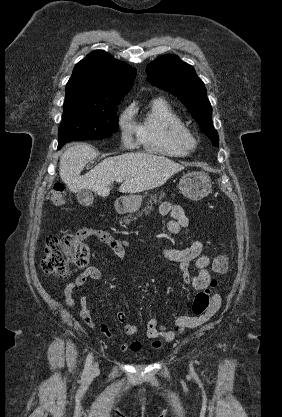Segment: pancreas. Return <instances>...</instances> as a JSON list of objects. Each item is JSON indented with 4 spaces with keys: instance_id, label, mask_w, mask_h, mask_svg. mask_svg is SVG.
Listing matches in <instances>:
<instances>
[{
    "instance_id": "1",
    "label": "pancreas",
    "mask_w": 282,
    "mask_h": 417,
    "mask_svg": "<svg viewBox=\"0 0 282 417\" xmlns=\"http://www.w3.org/2000/svg\"><path fill=\"white\" fill-rule=\"evenodd\" d=\"M163 196H165V192H161L160 196H157V194H152V196H150L148 200L149 206H151V204H156L157 198L158 200H161ZM144 211H146V209H144ZM144 211H142V213H144ZM137 217H141V213H139V215H136V217H133V215H128V217H124V223H129L130 219H132V221H136Z\"/></svg>"
}]
</instances>
